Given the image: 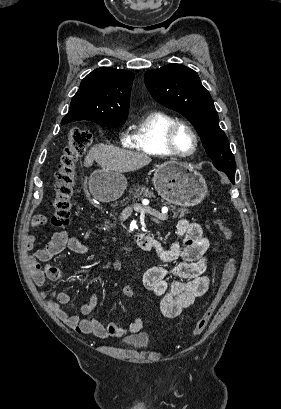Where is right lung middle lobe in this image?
I'll list each match as a JSON object with an SVG mask.
<instances>
[{"label":"right lung middle lobe","mask_w":281,"mask_h":409,"mask_svg":"<svg viewBox=\"0 0 281 409\" xmlns=\"http://www.w3.org/2000/svg\"><path fill=\"white\" fill-rule=\"evenodd\" d=\"M125 121H111V122H97L98 124L105 127H117L124 123Z\"/></svg>","instance_id":"obj_1"}]
</instances>
